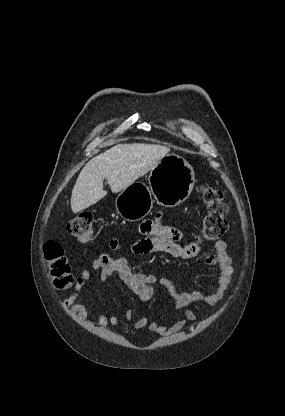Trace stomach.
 <instances>
[{
	"label": "stomach",
	"mask_w": 285,
	"mask_h": 416,
	"mask_svg": "<svg viewBox=\"0 0 285 416\" xmlns=\"http://www.w3.org/2000/svg\"><path fill=\"white\" fill-rule=\"evenodd\" d=\"M195 182L190 164L177 154H167L150 170L149 186L137 180L122 190L115 200L116 212L128 222H138L151 212L152 196L159 206L175 208L189 198Z\"/></svg>",
	"instance_id": "stomach-1"
}]
</instances>
